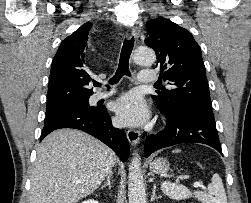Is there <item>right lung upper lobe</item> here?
I'll return each mask as SVG.
<instances>
[{
    "label": "right lung upper lobe",
    "instance_id": "1",
    "mask_svg": "<svg viewBox=\"0 0 251 203\" xmlns=\"http://www.w3.org/2000/svg\"><path fill=\"white\" fill-rule=\"evenodd\" d=\"M91 23H85L63 40L53 59L47 93V109H58L80 102L93 94L90 72L85 67Z\"/></svg>",
    "mask_w": 251,
    "mask_h": 203
}]
</instances>
